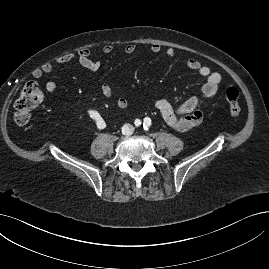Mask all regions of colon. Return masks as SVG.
Masks as SVG:
<instances>
[{
	"mask_svg": "<svg viewBox=\"0 0 269 269\" xmlns=\"http://www.w3.org/2000/svg\"><path fill=\"white\" fill-rule=\"evenodd\" d=\"M225 99L229 114L237 118L240 114L239 91L230 86L225 90ZM44 100V94L39 85L34 81L25 83L20 89L19 95L14 102V121L19 126L29 123L32 111Z\"/></svg>",
	"mask_w": 269,
	"mask_h": 269,
	"instance_id": "5ec220e1",
	"label": "colon"
}]
</instances>
